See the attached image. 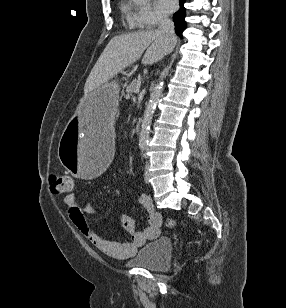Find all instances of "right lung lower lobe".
Masks as SVG:
<instances>
[{
    "label": "right lung lower lobe",
    "instance_id": "98d812e1",
    "mask_svg": "<svg viewBox=\"0 0 286 308\" xmlns=\"http://www.w3.org/2000/svg\"><path fill=\"white\" fill-rule=\"evenodd\" d=\"M186 0H180V5H181V9L179 11H177L174 16H173V21L175 23V30L176 33L182 37V32L184 31V29L186 28V23H185V8L183 7V4L185 3Z\"/></svg>",
    "mask_w": 286,
    "mask_h": 308
}]
</instances>
